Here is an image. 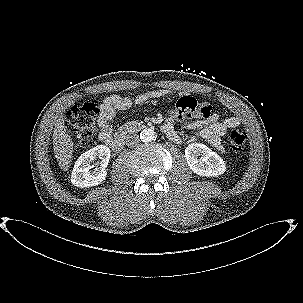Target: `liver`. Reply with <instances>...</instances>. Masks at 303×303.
I'll list each match as a JSON object with an SVG mask.
<instances>
[{
	"instance_id": "obj_1",
	"label": "liver",
	"mask_w": 303,
	"mask_h": 303,
	"mask_svg": "<svg viewBox=\"0 0 303 303\" xmlns=\"http://www.w3.org/2000/svg\"><path fill=\"white\" fill-rule=\"evenodd\" d=\"M73 141L66 131L65 121L60 114L53 131V149L59 167L67 171L70 167L73 153Z\"/></svg>"
}]
</instances>
